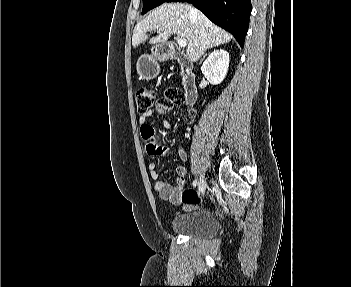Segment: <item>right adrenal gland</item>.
<instances>
[{
    "mask_svg": "<svg viewBox=\"0 0 351 287\" xmlns=\"http://www.w3.org/2000/svg\"><path fill=\"white\" fill-rule=\"evenodd\" d=\"M206 55L203 56V58L201 59V61L205 58Z\"/></svg>",
    "mask_w": 351,
    "mask_h": 287,
    "instance_id": "obj_1",
    "label": "right adrenal gland"
}]
</instances>
